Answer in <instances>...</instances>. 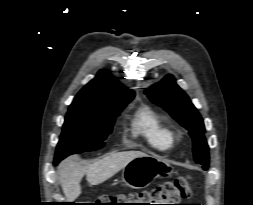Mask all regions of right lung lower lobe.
<instances>
[{"label": "right lung lower lobe", "instance_id": "98d812e1", "mask_svg": "<svg viewBox=\"0 0 253 205\" xmlns=\"http://www.w3.org/2000/svg\"><path fill=\"white\" fill-rule=\"evenodd\" d=\"M54 164L56 165V164H58V163H56V162L54 161Z\"/></svg>", "mask_w": 253, "mask_h": 205}]
</instances>
